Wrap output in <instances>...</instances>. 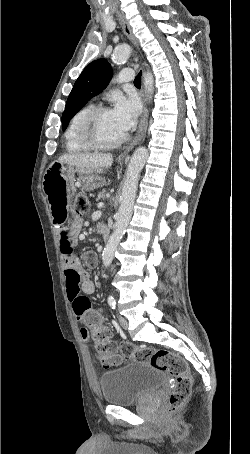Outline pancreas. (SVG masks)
Masks as SVG:
<instances>
[{
	"mask_svg": "<svg viewBox=\"0 0 250 454\" xmlns=\"http://www.w3.org/2000/svg\"><path fill=\"white\" fill-rule=\"evenodd\" d=\"M105 197V190L98 194V199H103Z\"/></svg>",
	"mask_w": 250,
	"mask_h": 454,
	"instance_id": "cf45deb5",
	"label": "pancreas"
}]
</instances>
